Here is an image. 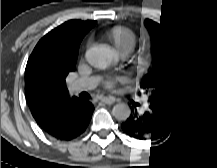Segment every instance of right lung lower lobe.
<instances>
[{"label": "right lung lower lobe", "instance_id": "98d812e1", "mask_svg": "<svg viewBox=\"0 0 217 168\" xmlns=\"http://www.w3.org/2000/svg\"><path fill=\"white\" fill-rule=\"evenodd\" d=\"M93 106L85 100H69L58 104L50 112L35 119L49 135L60 140H71L87 128Z\"/></svg>", "mask_w": 217, "mask_h": 168}]
</instances>
